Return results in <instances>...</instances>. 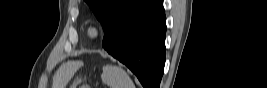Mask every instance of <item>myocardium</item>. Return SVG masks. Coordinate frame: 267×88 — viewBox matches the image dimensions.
<instances>
[{"label":"myocardium","mask_w":267,"mask_h":88,"mask_svg":"<svg viewBox=\"0 0 267 88\" xmlns=\"http://www.w3.org/2000/svg\"><path fill=\"white\" fill-rule=\"evenodd\" d=\"M87 36L92 40L97 39L99 36V31H98L97 27L94 25H90L87 28Z\"/></svg>","instance_id":"obj_1"}]
</instances>
